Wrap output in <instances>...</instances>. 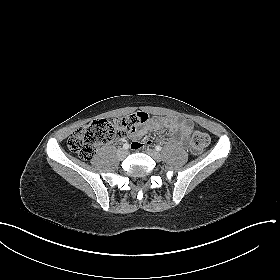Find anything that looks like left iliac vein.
I'll return each mask as SVG.
<instances>
[{"mask_svg": "<svg viewBox=\"0 0 280 280\" xmlns=\"http://www.w3.org/2000/svg\"><path fill=\"white\" fill-rule=\"evenodd\" d=\"M147 153L156 161H160L161 160V155L159 152L149 149L147 150Z\"/></svg>", "mask_w": 280, "mask_h": 280, "instance_id": "1", "label": "left iliac vein"}]
</instances>
